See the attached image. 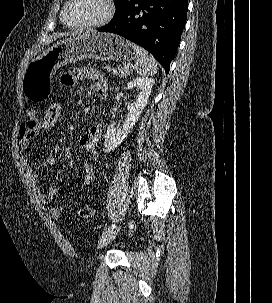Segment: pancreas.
Wrapping results in <instances>:
<instances>
[{
    "label": "pancreas",
    "mask_w": 272,
    "mask_h": 303,
    "mask_svg": "<svg viewBox=\"0 0 272 303\" xmlns=\"http://www.w3.org/2000/svg\"><path fill=\"white\" fill-rule=\"evenodd\" d=\"M131 73L130 69H124V67L118 66L115 71L114 74L117 75L118 77H126Z\"/></svg>",
    "instance_id": "cf45deb5"
}]
</instances>
